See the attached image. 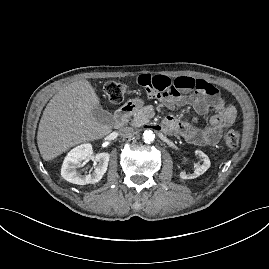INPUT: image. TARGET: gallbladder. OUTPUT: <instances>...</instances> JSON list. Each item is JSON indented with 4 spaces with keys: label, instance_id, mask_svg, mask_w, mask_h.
Segmentation results:
<instances>
[{
    "label": "gallbladder",
    "instance_id": "1",
    "mask_svg": "<svg viewBox=\"0 0 269 269\" xmlns=\"http://www.w3.org/2000/svg\"><path fill=\"white\" fill-rule=\"evenodd\" d=\"M92 113L94 118L103 124L112 125L114 122L112 114L101 106H97Z\"/></svg>",
    "mask_w": 269,
    "mask_h": 269
}]
</instances>
